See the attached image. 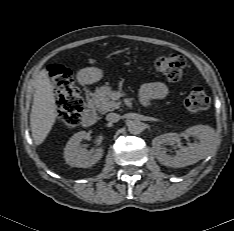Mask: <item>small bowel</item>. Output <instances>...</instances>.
<instances>
[{
	"label": "small bowel",
	"mask_w": 234,
	"mask_h": 231,
	"mask_svg": "<svg viewBox=\"0 0 234 231\" xmlns=\"http://www.w3.org/2000/svg\"><path fill=\"white\" fill-rule=\"evenodd\" d=\"M168 87L162 82H153L144 85L141 89V99L144 103L163 99L168 95Z\"/></svg>",
	"instance_id": "c3829d8e"
}]
</instances>
